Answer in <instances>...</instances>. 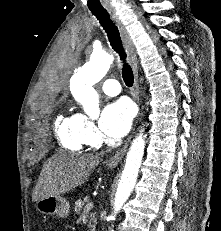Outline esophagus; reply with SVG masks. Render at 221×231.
<instances>
[{
	"label": "esophagus",
	"instance_id": "obj_1",
	"mask_svg": "<svg viewBox=\"0 0 221 231\" xmlns=\"http://www.w3.org/2000/svg\"><path fill=\"white\" fill-rule=\"evenodd\" d=\"M110 14H111L112 18L114 19V21L116 22V25L119 29V32L121 34L124 46L126 48V51L128 53L129 59H130V63H131L133 75H134L133 97L137 101V103L139 104L140 90H139V80H138V61H137V56H136V52H135V47H134L132 39L129 35V32L127 31L122 20L118 17V15L114 11H110ZM131 138H132V136H130L128 141L125 143V145L109 159V161H108L109 166L115 167L119 164V162L122 160V158L124 157V155L126 153V150L128 147V142L130 141Z\"/></svg>",
	"mask_w": 221,
	"mask_h": 231
}]
</instances>
